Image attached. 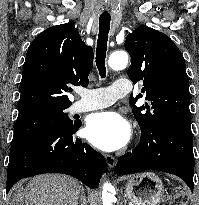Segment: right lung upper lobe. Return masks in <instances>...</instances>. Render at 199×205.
Returning <instances> with one entry per match:
<instances>
[{
  "instance_id": "cb5924a9",
  "label": "right lung upper lobe",
  "mask_w": 199,
  "mask_h": 205,
  "mask_svg": "<svg viewBox=\"0 0 199 205\" xmlns=\"http://www.w3.org/2000/svg\"><path fill=\"white\" fill-rule=\"evenodd\" d=\"M93 49L84 44L73 22L47 28L30 44L20 83L19 114L70 106V85L86 87Z\"/></svg>"
}]
</instances>
